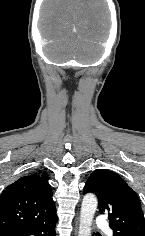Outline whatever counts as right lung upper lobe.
Returning <instances> with one entry per match:
<instances>
[{"instance_id":"right-lung-upper-lobe-1","label":"right lung upper lobe","mask_w":145,"mask_h":236,"mask_svg":"<svg viewBox=\"0 0 145 236\" xmlns=\"http://www.w3.org/2000/svg\"><path fill=\"white\" fill-rule=\"evenodd\" d=\"M56 215L45 173L21 177L0 196V231L35 225Z\"/></svg>"}]
</instances>
